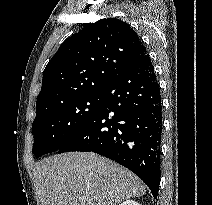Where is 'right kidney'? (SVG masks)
<instances>
[{
    "label": "right kidney",
    "mask_w": 212,
    "mask_h": 205,
    "mask_svg": "<svg viewBox=\"0 0 212 205\" xmlns=\"http://www.w3.org/2000/svg\"><path fill=\"white\" fill-rule=\"evenodd\" d=\"M120 205H140V204L134 200H126L125 202L121 203Z\"/></svg>",
    "instance_id": "ca27d5eb"
}]
</instances>
